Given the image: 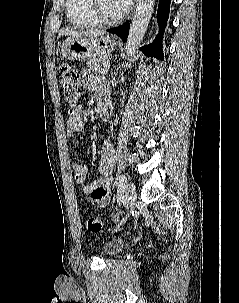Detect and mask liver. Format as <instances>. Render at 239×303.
Wrapping results in <instances>:
<instances>
[{
	"label": "liver",
	"instance_id": "liver-1",
	"mask_svg": "<svg viewBox=\"0 0 239 303\" xmlns=\"http://www.w3.org/2000/svg\"><path fill=\"white\" fill-rule=\"evenodd\" d=\"M105 32L98 30H87V31H63L61 35L69 36L68 39H78L81 37H97L103 35Z\"/></svg>",
	"mask_w": 239,
	"mask_h": 303
}]
</instances>
